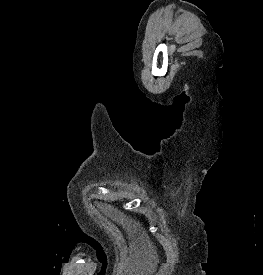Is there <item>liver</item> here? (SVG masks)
I'll return each instance as SVG.
<instances>
[{"instance_id":"6515ba94","label":"liver","mask_w":263,"mask_h":275,"mask_svg":"<svg viewBox=\"0 0 263 275\" xmlns=\"http://www.w3.org/2000/svg\"><path fill=\"white\" fill-rule=\"evenodd\" d=\"M109 209H110V213H111L113 220L119 222L124 227L126 226L128 230L131 229V223H132L131 219H129L123 213H120L118 210H116V209L114 210L112 207H109ZM133 227H135V226L133 225Z\"/></svg>"}]
</instances>
